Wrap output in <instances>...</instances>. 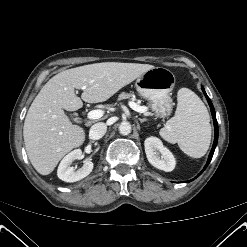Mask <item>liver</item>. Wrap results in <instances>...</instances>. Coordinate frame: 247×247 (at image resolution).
Returning a JSON list of instances; mask_svg holds the SVG:
<instances>
[{"instance_id": "obj_1", "label": "liver", "mask_w": 247, "mask_h": 247, "mask_svg": "<svg viewBox=\"0 0 247 247\" xmlns=\"http://www.w3.org/2000/svg\"><path fill=\"white\" fill-rule=\"evenodd\" d=\"M152 68L149 64L103 62L53 76L33 100L23 127L25 149L36 171L50 174L65 154L85 141V130L73 125L64 110L80 109L82 100L104 102ZM74 89L83 90L81 98Z\"/></svg>"}]
</instances>
